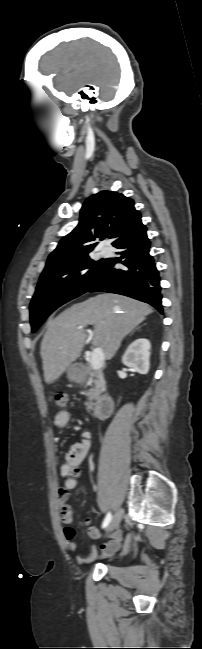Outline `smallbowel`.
<instances>
[{
  "label": "small bowel",
  "instance_id": "obj_1",
  "mask_svg": "<svg viewBox=\"0 0 202 649\" xmlns=\"http://www.w3.org/2000/svg\"><path fill=\"white\" fill-rule=\"evenodd\" d=\"M71 420V413L68 410L59 411L54 418V423L57 427H65ZM82 440L74 443L65 457L64 464L61 467V476L64 481V486L58 490L57 498L59 502V511L61 520L65 524L63 528V537L67 541V547L74 551L77 549V543L74 541L75 529L70 526L73 521V511L68 504V499L72 490L77 486V478L80 475V467L83 460L86 458L91 442L90 434L83 432L81 434ZM86 531L91 539H99L102 534L97 527L92 525L90 521L86 522ZM109 540L101 544V553L98 554L94 548H89L77 554V561L80 564L90 563L96 559H102L114 554L121 545L122 534L120 530H116L109 534ZM127 552V550H125Z\"/></svg>",
  "mask_w": 202,
  "mask_h": 649
}]
</instances>
